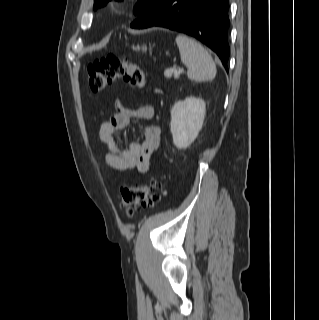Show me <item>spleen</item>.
Returning a JSON list of instances; mask_svg holds the SVG:
<instances>
[{
    "label": "spleen",
    "mask_w": 319,
    "mask_h": 320,
    "mask_svg": "<svg viewBox=\"0 0 319 320\" xmlns=\"http://www.w3.org/2000/svg\"><path fill=\"white\" fill-rule=\"evenodd\" d=\"M181 61L187 66V77L193 81H210L215 78L216 66L206 49L194 39L179 34L176 37Z\"/></svg>",
    "instance_id": "1"
}]
</instances>
